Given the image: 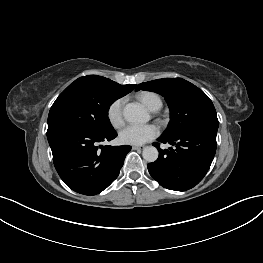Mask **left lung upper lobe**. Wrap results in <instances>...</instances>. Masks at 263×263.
Instances as JSON below:
<instances>
[{"instance_id":"5c2ea615","label":"left lung upper lobe","mask_w":263,"mask_h":263,"mask_svg":"<svg viewBox=\"0 0 263 263\" xmlns=\"http://www.w3.org/2000/svg\"><path fill=\"white\" fill-rule=\"evenodd\" d=\"M153 91L167 101L171 120L162 137L172 138L192 130H218L216 110L198 87L181 78H164L141 83L138 90Z\"/></svg>"}]
</instances>
